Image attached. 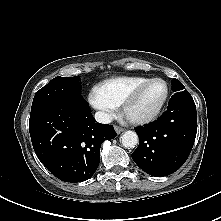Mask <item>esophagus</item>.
Returning <instances> with one entry per match:
<instances>
[{"mask_svg":"<svg viewBox=\"0 0 221 221\" xmlns=\"http://www.w3.org/2000/svg\"><path fill=\"white\" fill-rule=\"evenodd\" d=\"M114 130H115V132H116L117 134H120L121 132L124 131V129L121 128V127H119V126H115V127H114Z\"/></svg>","mask_w":221,"mask_h":221,"instance_id":"esophagus-1","label":"esophagus"}]
</instances>
